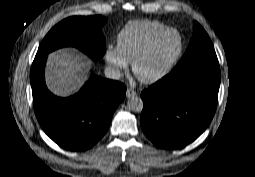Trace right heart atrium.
I'll return each instance as SVG.
<instances>
[{
  "mask_svg": "<svg viewBox=\"0 0 255 177\" xmlns=\"http://www.w3.org/2000/svg\"><path fill=\"white\" fill-rule=\"evenodd\" d=\"M105 58L113 75L121 76L128 70L129 62L119 46L108 45L105 51Z\"/></svg>",
  "mask_w": 255,
  "mask_h": 177,
  "instance_id": "d8ad5b80",
  "label": "right heart atrium"
}]
</instances>
